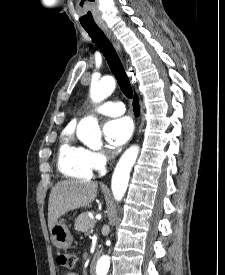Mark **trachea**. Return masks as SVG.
Wrapping results in <instances>:
<instances>
[{"mask_svg":"<svg viewBox=\"0 0 225 275\" xmlns=\"http://www.w3.org/2000/svg\"><path fill=\"white\" fill-rule=\"evenodd\" d=\"M84 29L103 53L121 91L127 98H132L133 92L129 78L111 42L99 27H84Z\"/></svg>","mask_w":225,"mask_h":275,"instance_id":"trachea-1","label":"trachea"}]
</instances>
